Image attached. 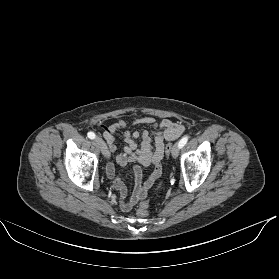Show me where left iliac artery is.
Wrapping results in <instances>:
<instances>
[{"label": "left iliac artery", "mask_w": 279, "mask_h": 279, "mask_svg": "<svg viewBox=\"0 0 279 279\" xmlns=\"http://www.w3.org/2000/svg\"><path fill=\"white\" fill-rule=\"evenodd\" d=\"M188 141V136H184L178 143L179 147L182 148Z\"/></svg>", "instance_id": "44dca946"}]
</instances>
